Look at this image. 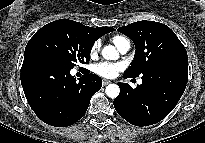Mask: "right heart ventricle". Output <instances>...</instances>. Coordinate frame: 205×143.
Segmentation results:
<instances>
[{"label": "right heart ventricle", "instance_id": "right-heart-ventricle-1", "mask_svg": "<svg viewBox=\"0 0 205 143\" xmlns=\"http://www.w3.org/2000/svg\"><path fill=\"white\" fill-rule=\"evenodd\" d=\"M124 40H126V38L121 35H116V36H113L112 38V41L116 47H118L119 44L123 42Z\"/></svg>", "mask_w": 205, "mask_h": 143}]
</instances>
